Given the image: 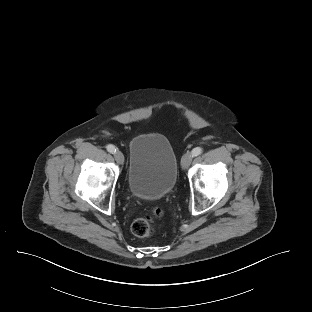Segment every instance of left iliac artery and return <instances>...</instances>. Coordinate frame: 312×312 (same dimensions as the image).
I'll return each instance as SVG.
<instances>
[{"mask_svg":"<svg viewBox=\"0 0 312 312\" xmlns=\"http://www.w3.org/2000/svg\"><path fill=\"white\" fill-rule=\"evenodd\" d=\"M203 150L200 147H196L192 150V157H196L200 154H202Z\"/></svg>","mask_w":312,"mask_h":312,"instance_id":"obj_1","label":"left iliac artery"}]
</instances>
